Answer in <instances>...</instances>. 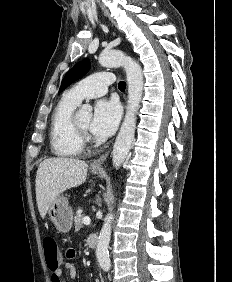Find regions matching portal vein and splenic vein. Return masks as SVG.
<instances>
[{"mask_svg":"<svg viewBox=\"0 0 232 282\" xmlns=\"http://www.w3.org/2000/svg\"><path fill=\"white\" fill-rule=\"evenodd\" d=\"M83 223L86 225L90 224V218L88 216H84Z\"/></svg>","mask_w":232,"mask_h":282,"instance_id":"obj_1","label":"portal vein and splenic vein"}]
</instances>
